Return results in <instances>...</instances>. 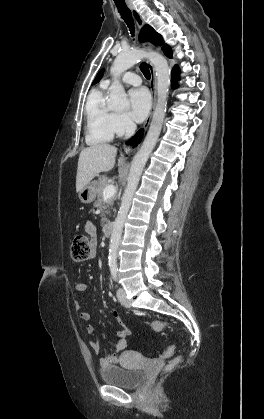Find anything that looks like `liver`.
Instances as JSON below:
<instances>
[{"mask_svg":"<svg viewBox=\"0 0 264 419\" xmlns=\"http://www.w3.org/2000/svg\"><path fill=\"white\" fill-rule=\"evenodd\" d=\"M116 154L117 148L106 143L83 149L78 159L76 192L90 183L99 173L110 171L114 167ZM122 161L120 158L118 165Z\"/></svg>","mask_w":264,"mask_h":419,"instance_id":"6515ba94","label":"liver"}]
</instances>
